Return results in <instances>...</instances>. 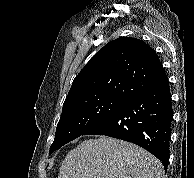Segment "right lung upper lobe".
<instances>
[{
  "mask_svg": "<svg viewBox=\"0 0 194 178\" xmlns=\"http://www.w3.org/2000/svg\"><path fill=\"white\" fill-rule=\"evenodd\" d=\"M168 83L156 52L143 40L120 37L101 48L73 80L64 105L84 98L128 100Z\"/></svg>",
  "mask_w": 194,
  "mask_h": 178,
  "instance_id": "cb5924a9",
  "label": "right lung upper lobe"
}]
</instances>
